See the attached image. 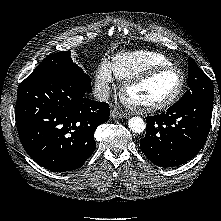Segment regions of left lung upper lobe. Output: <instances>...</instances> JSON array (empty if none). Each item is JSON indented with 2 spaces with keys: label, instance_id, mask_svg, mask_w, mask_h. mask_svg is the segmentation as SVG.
Returning a JSON list of instances; mask_svg holds the SVG:
<instances>
[{
  "label": "left lung upper lobe",
  "instance_id": "5c2ea615",
  "mask_svg": "<svg viewBox=\"0 0 221 221\" xmlns=\"http://www.w3.org/2000/svg\"><path fill=\"white\" fill-rule=\"evenodd\" d=\"M188 86L189 90L178 101L201 96L207 98H214V88L211 79L197 66L195 61L188 58Z\"/></svg>",
  "mask_w": 221,
  "mask_h": 221
}]
</instances>
